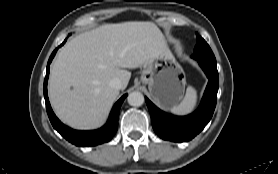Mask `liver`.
Wrapping results in <instances>:
<instances>
[{
    "label": "liver",
    "instance_id": "6515ba94",
    "mask_svg": "<svg viewBox=\"0 0 278 174\" xmlns=\"http://www.w3.org/2000/svg\"><path fill=\"white\" fill-rule=\"evenodd\" d=\"M169 49L153 22L129 21L101 25L70 40L51 66L48 92L56 115L78 130L103 124L119 90L114 78L127 87L133 69Z\"/></svg>",
    "mask_w": 278,
    "mask_h": 174
}]
</instances>
